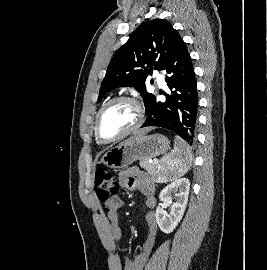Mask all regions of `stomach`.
Returning <instances> with one entry per match:
<instances>
[{
  "instance_id": "0dacf381",
  "label": "stomach",
  "mask_w": 267,
  "mask_h": 270,
  "mask_svg": "<svg viewBox=\"0 0 267 270\" xmlns=\"http://www.w3.org/2000/svg\"><path fill=\"white\" fill-rule=\"evenodd\" d=\"M170 142L162 134H145L132 142H122L109 149L101 162L109 168H125L137 160H149L165 154Z\"/></svg>"
}]
</instances>
